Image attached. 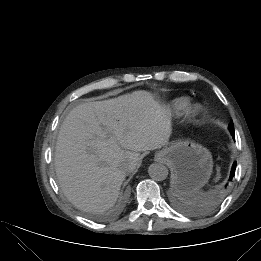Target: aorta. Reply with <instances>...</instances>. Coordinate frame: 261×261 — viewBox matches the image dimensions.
I'll list each match as a JSON object with an SVG mask.
<instances>
[{
	"label": "aorta",
	"instance_id": "762f6f07",
	"mask_svg": "<svg viewBox=\"0 0 261 261\" xmlns=\"http://www.w3.org/2000/svg\"><path fill=\"white\" fill-rule=\"evenodd\" d=\"M149 176L156 181L165 180L168 176V169L160 163H153L148 168Z\"/></svg>",
	"mask_w": 261,
	"mask_h": 261
}]
</instances>
